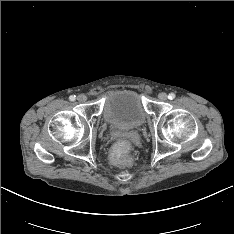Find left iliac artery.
Returning <instances> with one entry per match:
<instances>
[{"label":"left iliac artery","mask_w":234,"mask_h":234,"mask_svg":"<svg viewBox=\"0 0 234 234\" xmlns=\"http://www.w3.org/2000/svg\"><path fill=\"white\" fill-rule=\"evenodd\" d=\"M168 98H169L170 100L174 99V98H175V94H174V93H170V94L168 95Z\"/></svg>","instance_id":"left-iliac-artery-1"}]
</instances>
